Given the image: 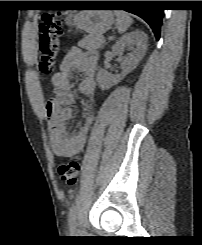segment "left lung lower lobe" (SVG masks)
Wrapping results in <instances>:
<instances>
[{
  "instance_id": "obj_1",
  "label": "left lung lower lobe",
  "mask_w": 202,
  "mask_h": 245,
  "mask_svg": "<svg viewBox=\"0 0 202 245\" xmlns=\"http://www.w3.org/2000/svg\"><path fill=\"white\" fill-rule=\"evenodd\" d=\"M87 4L96 6L124 7V10L133 13L145 20L152 28L157 40L160 38L163 10L152 8V1H86Z\"/></svg>"
}]
</instances>
